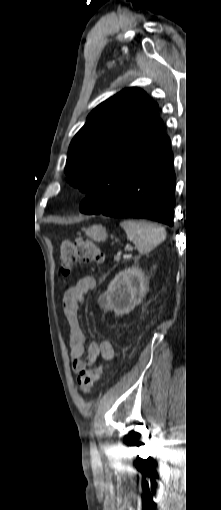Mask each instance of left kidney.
<instances>
[{"label":"left kidney","instance_id":"left-kidney-1","mask_svg":"<svg viewBox=\"0 0 221 510\" xmlns=\"http://www.w3.org/2000/svg\"><path fill=\"white\" fill-rule=\"evenodd\" d=\"M147 289L148 282L143 272L138 267H130L114 277L98 302L104 310H113L116 316H122L141 302Z\"/></svg>","mask_w":221,"mask_h":510}]
</instances>
